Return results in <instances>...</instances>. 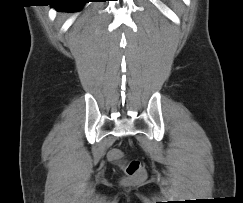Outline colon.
<instances>
[{
    "label": "colon",
    "mask_w": 243,
    "mask_h": 203,
    "mask_svg": "<svg viewBox=\"0 0 243 203\" xmlns=\"http://www.w3.org/2000/svg\"><path fill=\"white\" fill-rule=\"evenodd\" d=\"M109 158L123 169L125 175L121 181L124 185H134L145 178V171L139 160L135 159L125 163L121 151L117 149L109 152Z\"/></svg>",
    "instance_id": "5ec220e1"
}]
</instances>
